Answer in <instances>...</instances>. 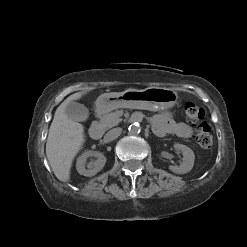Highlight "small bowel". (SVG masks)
Segmentation results:
<instances>
[{"label":"small bowel","mask_w":247,"mask_h":247,"mask_svg":"<svg viewBox=\"0 0 247 247\" xmlns=\"http://www.w3.org/2000/svg\"><path fill=\"white\" fill-rule=\"evenodd\" d=\"M153 130L158 136L176 135L188 138L192 135V129L183 122H177L170 113L163 112L152 117Z\"/></svg>","instance_id":"c3829d8e"}]
</instances>
